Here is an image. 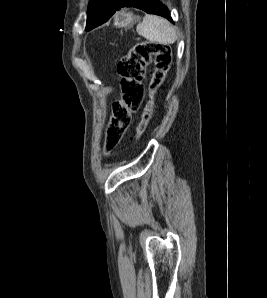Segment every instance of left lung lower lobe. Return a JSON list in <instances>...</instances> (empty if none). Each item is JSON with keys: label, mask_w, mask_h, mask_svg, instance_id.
<instances>
[{"label": "left lung lower lobe", "mask_w": 267, "mask_h": 298, "mask_svg": "<svg viewBox=\"0 0 267 298\" xmlns=\"http://www.w3.org/2000/svg\"><path fill=\"white\" fill-rule=\"evenodd\" d=\"M122 7H135L150 14L163 16L172 21L171 17H169L167 8L158 0H116L105 11H99L100 13L98 15L92 16L87 21L86 30L89 31L106 22L116 12V10H119Z\"/></svg>", "instance_id": "1"}]
</instances>
